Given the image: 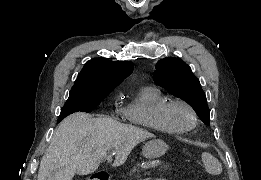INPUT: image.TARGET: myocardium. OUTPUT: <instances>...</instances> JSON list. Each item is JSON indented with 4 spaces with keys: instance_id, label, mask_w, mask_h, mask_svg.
<instances>
[{
    "instance_id": "1",
    "label": "myocardium",
    "mask_w": 261,
    "mask_h": 180,
    "mask_svg": "<svg viewBox=\"0 0 261 180\" xmlns=\"http://www.w3.org/2000/svg\"><path fill=\"white\" fill-rule=\"evenodd\" d=\"M172 107H181L188 113V122L185 124H176L172 122L166 115L168 109ZM158 117L162 127L173 133H186L192 130L198 121L196 109L189 102L183 99L168 100L159 110Z\"/></svg>"
}]
</instances>
